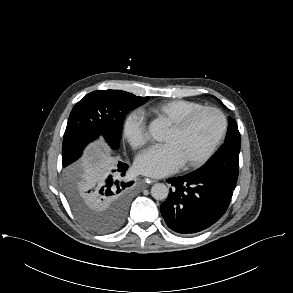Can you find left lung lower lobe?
<instances>
[{
  "instance_id": "left-lung-lower-lobe-1",
  "label": "left lung lower lobe",
  "mask_w": 293,
  "mask_h": 293,
  "mask_svg": "<svg viewBox=\"0 0 293 293\" xmlns=\"http://www.w3.org/2000/svg\"><path fill=\"white\" fill-rule=\"evenodd\" d=\"M172 185L161 205L167 226L180 234H194L217 222L227 210L236 183L215 174L193 171L167 180Z\"/></svg>"
}]
</instances>
